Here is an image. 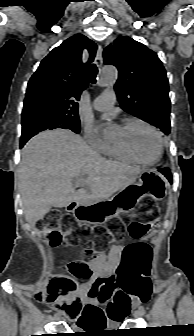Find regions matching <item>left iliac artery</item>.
Wrapping results in <instances>:
<instances>
[{"instance_id": "obj_1", "label": "left iliac artery", "mask_w": 194, "mask_h": 336, "mask_svg": "<svg viewBox=\"0 0 194 336\" xmlns=\"http://www.w3.org/2000/svg\"><path fill=\"white\" fill-rule=\"evenodd\" d=\"M139 309L141 310V312L144 314L145 313V310H144V307L143 306H140Z\"/></svg>"}]
</instances>
